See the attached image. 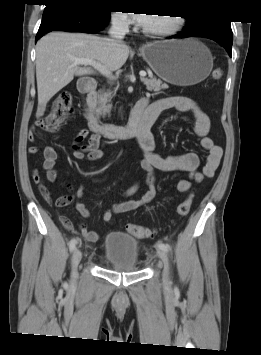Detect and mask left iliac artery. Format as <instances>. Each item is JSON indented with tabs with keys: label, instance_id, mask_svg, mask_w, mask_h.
I'll list each match as a JSON object with an SVG mask.
<instances>
[{
	"label": "left iliac artery",
	"instance_id": "44dca946",
	"mask_svg": "<svg viewBox=\"0 0 261 355\" xmlns=\"http://www.w3.org/2000/svg\"><path fill=\"white\" fill-rule=\"evenodd\" d=\"M157 247L165 252H168L170 250V246L168 244L162 243V242H158Z\"/></svg>",
	"mask_w": 261,
	"mask_h": 355
}]
</instances>
